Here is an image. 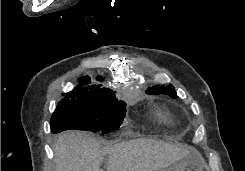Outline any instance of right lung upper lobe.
I'll use <instances>...</instances> for the list:
<instances>
[{"label": "right lung upper lobe", "mask_w": 245, "mask_h": 171, "mask_svg": "<svg viewBox=\"0 0 245 171\" xmlns=\"http://www.w3.org/2000/svg\"><path fill=\"white\" fill-rule=\"evenodd\" d=\"M81 85L77 86L73 91L66 93V97L62 101H94L115 98L114 91L108 88H100L99 85H91L82 88L83 84H89V77L80 78ZM65 95V94H62Z\"/></svg>", "instance_id": "1"}]
</instances>
